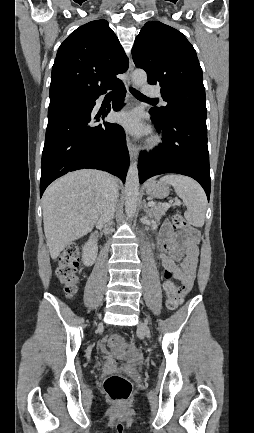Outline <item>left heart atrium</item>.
I'll use <instances>...</instances> for the list:
<instances>
[{
  "mask_svg": "<svg viewBox=\"0 0 254 433\" xmlns=\"http://www.w3.org/2000/svg\"><path fill=\"white\" fill-rule=\"evenodd\" d=\"M118 122L132 133H142L145 128L141 122V114L138 111L122 112L118 115Z\"/></svg>",
  "mask_w": 254,
  "mask_h": 433,
  "instance_id": "obj_1",
  "label": "left heart atrium"
}]
</instances>
